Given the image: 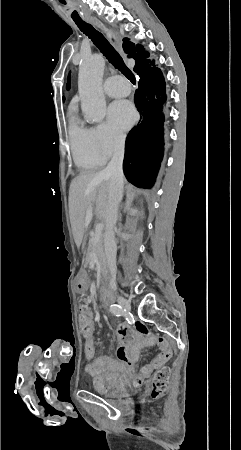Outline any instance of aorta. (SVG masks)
Here are the masks:
<instances>
[{
    "mask_svg": "<svg viewBox=\"0 0 241 450\" xmlns=\"http://www.w3.org/2000/svg\"><path fill=\"white\" fill-rule=\"evenodd\" d=\"M104 60L92 55L79 68L78 87L82 111L89 122H101L106 114V101L101 88Z\"/></svg>",
    "mask_w": 241,
    "mask_h": 450,
    "instance_id": "obj_1",
    "label": "aorta"
}]
</instances>
